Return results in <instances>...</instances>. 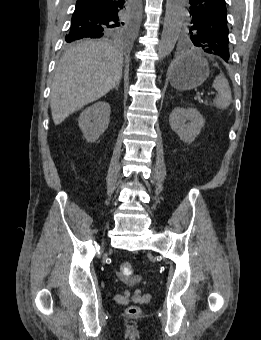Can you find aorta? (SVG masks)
I'll list each match as a JSON object with an SVG mask.
<instances>
[{"label": "aorta", "instance_id": "762f6f07", "mask_svg": "<svg viewBox=\"0 0 261 340\" xmlns=\"http://www.w3.org/2000/svg\"><path fill=\"white\" fill-rule=\"evenodd\" d=\"M186 0H167L161 40L158 45L160 59L168 56L177 40L182 27Z\"/></svg>", "mask_w": 261, "mask_h": 340}]
</instances>
